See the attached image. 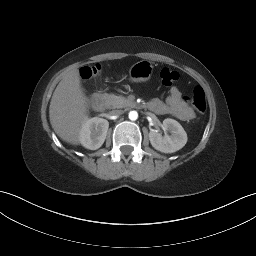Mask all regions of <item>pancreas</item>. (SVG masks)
I'll return each mask as SVG.
<instances>
[{
	"instance_id": "cf45deb5",
	"label": "pancreas",
	"mask_w": 256,
	"mask_h": 256,
	"mask_svg": "<svg viewBox=\"0 0 256 256\" xmlns=\"http://www.w3.org/2000/svg\"><path fill=\"white\" fill-rule=\"evenodd\" d=\"M107 104L111 108H123L129 106L131 101L123 96H117L114 94H104Z\"/></svg>"
}]
</instances>
